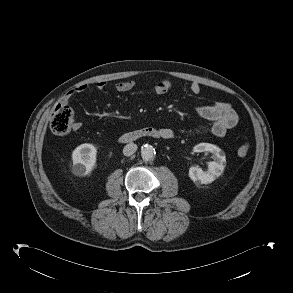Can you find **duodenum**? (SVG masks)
<instances>
[{"mask_svg": "<svg viewBox=\"0 0 293 293\" xmlns=\"http://www.w3.org/2000/svg\"><path fill=\"white\" fill-rule=\"evenodd\" d=\"M142 137H152V138H170L169 135L164 134L159 129L154 127H144L134 131L126 132L122 134L119 138L121 143H130L136 141Z\"/></svg>", "mask_w": 293, "mask_h": 293, "instance_id": "obj_1", "label": "duodenum"}]
</instances>
